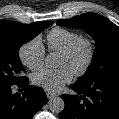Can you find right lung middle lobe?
Returning a JSON list of instances; mask_svg holds the SVG:
<instances>
[{
    "label": "right lung middle lobe",
    "instance_id": "dd1d6c3e",
    "mask_svg": "<svg viewBox=\"0 0 119 119\" xmlns=\"http://www.w3.org/2000/svg\"><path fill=\"white\" fill-rule=\"evenodd\" d=\"M53 22L39 21L32 24L0 22V86L15 85L25 79L19 49Z\"/></svg>",
    "mask_w": 119,
    "mask_h": 119
}]
</instances>
